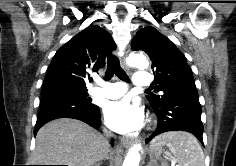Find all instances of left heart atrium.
Wrapping results in <instances>:
<instances>
[{"instance_id": "obj_1", "label": "left heart atrium", "mask_w": 236, "mask_h": 166, "mask_svg": "<svg viewBox=\"0 0 236 166\" xmlns=\"http://www.w3.org/2000/svg\"><path fill=\"white\" fill-rule=\"evenodd\" d=\"M104 118L110 129L118 133L128 134L143 126L144 112L137 103L124 98L106 104Z\"/></svg>"}]
</instances>
